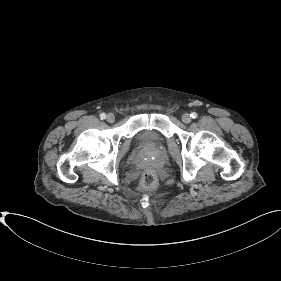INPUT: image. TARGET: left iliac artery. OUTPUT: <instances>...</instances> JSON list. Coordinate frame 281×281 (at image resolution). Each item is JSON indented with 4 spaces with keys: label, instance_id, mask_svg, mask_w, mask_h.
<instances>
[{
    "label": "left iliac artery",
    "instance_id": "obj_1",
    "mask_svg": "<svg viewBox=\"0 0 281 281\" xmlns=\"http://www.w3.org/2000/svg\"><path fill=\"white\" fill-rule=\"evenodd\" d=\"M190 116L195 119V118H197L198 114L196 112H192L190 114Z\"/></svg>",
    "mask_w": 281,
    "mask_h": 281
}]
</instances>
